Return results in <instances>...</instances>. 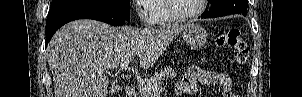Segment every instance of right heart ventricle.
I'll use <instances>...</instances> for the list:
<instances>
[{
    "mask_svg": "<svg viewBox=\"0 0 302 97\" xmlns=\"http://www.w3.org/2000/svg\"><path fill=\"white\" fill-rule=\"evenodd\" d=\"M151 9L156 15L155 24L161 27L169 26L175 22V20L169 15L166 10V0L153 1Z\"/></svg>",
    "mask_w": 302,
    "mask_h": 97,
    "instance_id": "1",
    "label": "right heart ventricle"
}]
</instances>
